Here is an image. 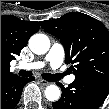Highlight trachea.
Wrapping results in <instances>:
<instances>
[{"label": "trachea", "instance_id": "trachea-1", "mask_svg": "<svg viewBox=\"0 0 109 109\" xmlns=\"http://www.w3.org/2000/svg\"><path fill=\"white\" fill-rule=\"evenodd\" d=\"M19 75L22 77H30L32 75V72L20 70ZM42 77H43V79H45L46 81H49V82H56L59 80V78H57V74L43 73Z\"/></svg>", "mask_w": 109, "mask_h": 109}]
</instances>
